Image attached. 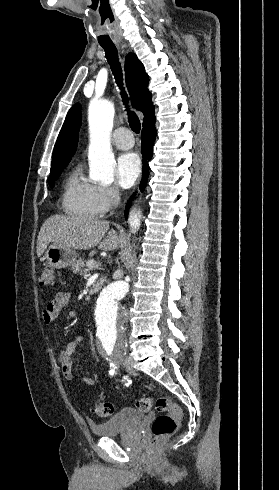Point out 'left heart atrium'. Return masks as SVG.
Segmentation results:
<instances>
[{"mask_svg": "<svg viewBox=\"0 0 279 490\" xmlns=\"http://www.w3.org/2000/svg\"><path fill=\"white\" fill-rule=\"evenodd\" d=\"M142 164L135 153L121 155L117 163V179L121 187L130 188L140 176Z\"/></svg>", "mask_w": 279, "mask_h": 490, "instance_id": "obj_1", "label": "left heart atrium"}]
</instances>
